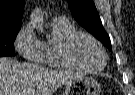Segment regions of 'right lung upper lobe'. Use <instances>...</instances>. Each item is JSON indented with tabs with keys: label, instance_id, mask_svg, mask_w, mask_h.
Returning <instances> with one entry per match:
<instances>
[{
	"label": "right lung upper lobe",
	"instance_id": "right-lung-upper-lobe-1",
	"mask_svg": "<svg viewBox=\"0 0 135 95\" xmlns=\"http://www.w3.org/2000/svg\"><path fill=\"white\" fill-rule=\"evenodd\" d=\"M25 0H0V34L19 31Z\"/></svg>",
	"mask_w": 135,
	"mask_h": 95
}]
</instances>
